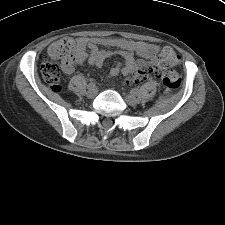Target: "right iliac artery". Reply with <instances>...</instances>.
<instances>
[{"label": "right iliac artery", "mask_w": 225, "mask_h": 225, "mask_svg": "<svg viewBox=\"0 0 225 225\" xmlns=\"http://www.w3.org/2000/svg\"><path fill=\"white\" fill-rule=\"evenodd\" d=\"M92 86H95V83L93 80L90 81V83L88 84V88L92 87Z\"/></svg>", "instance_id": "right-iliac-artery-1"}]
</instances>
